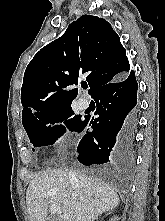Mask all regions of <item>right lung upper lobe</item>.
Segmentation results:
<instances>
[{
	"label": "right lung upper lobe",
	"mask_w": 165,
	"mask_h": 221,
	"mask_svg": "<svg viewBox=\"0 0 165 221\" xmlns=\"http://www.w3.org/2000/svg\"><path fill=\"white\" fill-rule=\"evenodd\" d=\"M130 65L119 36L102 18L83 15L57 40L43 47L27 66L21 89L22 123L41 114L70 107L86 76L91 96L102 86L120 80Z\"/></svg>",
	"instance_id": "1"
}]
</instances>
